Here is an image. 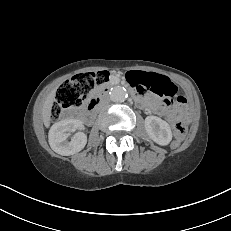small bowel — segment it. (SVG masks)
Instances as JSON below:
<instances>
[{
	"label": "small bowel",
	"instance_id": "small-bowel-1",
	"mask_svg": "<svg viewBox=\"0 0 231 231\" xmlns=\"http://www.w3.org/2000/svg\"><path fill=\"white\" fill-rule=\"evenodd\" d=\"M138 75L140 79L135 81L132 76ZM128 83H136L135 88L139 93L148 90L151 94L146 100V109L149 113L171 114L170 95L175 94L176 89L169 77L151 71H130L127 75ZM185 110L184 107L181 109Z\"/></svg>",
	"mask_w": 231,
	"mask_h": 231
}]
</instances>
